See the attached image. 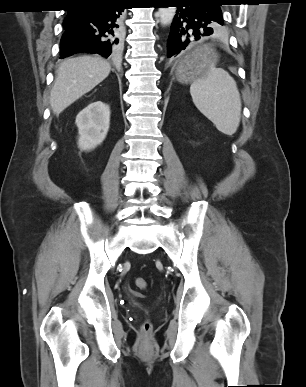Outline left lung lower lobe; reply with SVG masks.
I'll use <instances>...</instances> for the list:
<instances>
[{
    "label": "left lung lower lobe",
    "mask_w": 306,
    "mask_h": 387,
    "mask_svg": "<svg viewBox=\"0 0 306 387\" xmlns=\"http://www.w3.org/2000/svg\"><path fill=\"white\" fill-rule=\"evenodd\" d=\"M176 4L177 12L173 19L167 41L168 57H176L189 45L213 34L214 28L223 25L221 0H165Z\"/></svg>",
    "instance_id": "left-lung-lower-lobe-1"
}]
</instances>
